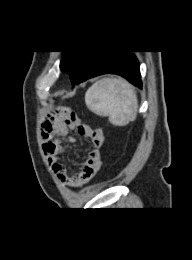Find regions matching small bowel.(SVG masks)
Segmentation results:
<instances>
[{
  "label": "small bowel",
  "mask_w": 192,
  "mask_h": 260,
  "mask_svg": "<svg viewBox=\"0 0 192 260\" xmlns=\"http://www.w3.org/2000/svg\"><path fill=\"white\" fill-rule=\"evenodd\" d=\"M70 130L91 139L92 149L78 170H71L61 162L63 147L61 139L67 137ZM43 150L47 162L59 181L67 187L79 188L87 184L97 173L101 164L100 148L104 142V134L100 129H95L82 123L81 119L73 112L66 110V115H53L42 126ZM73 140V138H69Z\"/></svg>",
  "instance_id": "c3829d8e"
}]
</instances>
